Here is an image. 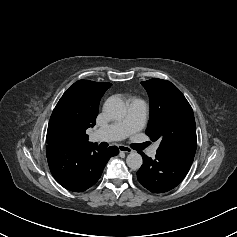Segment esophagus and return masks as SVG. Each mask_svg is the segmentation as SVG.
I'll list each match as a JSON object with an SVG mask.
<instances>
[{"mask_svg":"<svg viewBox=\"0 0 237 237\" xmlns=\"http://www.w3.org/2000/svg\"><path fill=\"white\" fill-rule=\"evenodd\" d=\"M118 148H119V151L123 153H131L133 151L131 148L124 145H119Z\"/></svg>","mask_w":237,"mask_h":237,"instance_id":"1","label":"esophagus"}]
</instances>
